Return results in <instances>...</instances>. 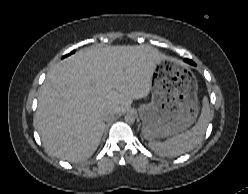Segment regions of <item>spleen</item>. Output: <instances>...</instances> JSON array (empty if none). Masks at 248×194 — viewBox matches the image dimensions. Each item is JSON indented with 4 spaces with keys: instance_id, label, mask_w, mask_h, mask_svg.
<instances>
[{
    "instance_id": "3e777b00",
    "label": "spleen",
    "mask_w": 248,
    "mask_h": 194,
    "mask_svg": "<svg viewBox=\"0 0 248 194\" xmlns=\"http://www.w3.org/2000/svg\"><path fill=\"white\" fill-rule=\"evenodd\" d=\"M210 120L208 98H203V107L198 122L190 130L173 136L166 141H149V147L163 156L175 157L188 152L201 143Z\"/></svg>"
}]
</instances>
